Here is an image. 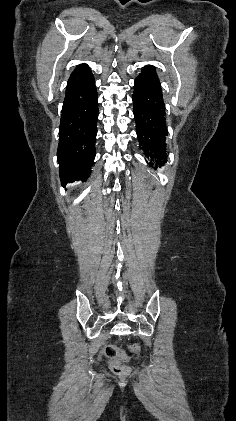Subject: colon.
Returning <instances> with one entry per match:
<instances>
[{"label":"colon","mask_w":236,"mask_h":421,"mask_svg":"<svg viewBox=\"0 0 236 421\" xmlns=\"http://www.w3.org/2000/svg\"><path fill=\"white\" fill-rule=\"evenodd\" d=\"M130 349L132 352H139L140 346L139 344H132L130 345ZM105 355L111 359V368L114 373L120 376H125L130 373V367L124 364L126 359V354L121 349L117 348L114 345H107L104 348Z\"/></svg>","instance_id":"obj_1"}]
</instances>
